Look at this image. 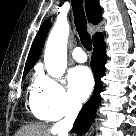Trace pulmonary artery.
Returning <instances> with one entry per match:
<instances>
[{
    "mask_svg": "<svg viewBox=\"0 0 136 136\" xmlns=\"http://www.w3.org/2000/svg\"><path fill=\"white\" fill-rule=\"evenodd\" d=\"M74 59L78 62H85L87 60V55L84 50L80 47H76L72 51Z\"/></svg>",
    "mask_w": 136,
    "mask_h": 136,
    "instance_id": "pulmonary-artery-1",
    "label": "pulmonary artery"
}]
</instances>
